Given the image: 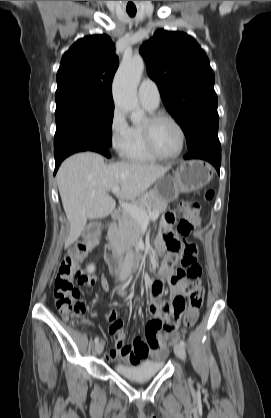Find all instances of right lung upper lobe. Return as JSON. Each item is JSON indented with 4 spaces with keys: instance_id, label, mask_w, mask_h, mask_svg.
<instances>
[{
    "instance_id": "1",
    "label": "right lung upper lobe",
    "mask_w": 271,
    "mask_h": 418,
    "mask_svg": "<svg viewBox=\"0 0 271 418\" xmlns=\"http://www.w3.org/2000/svg\"><path fill=\"white\" fill-rule=\"evenodd\" d=\"M119 64L111 39H79L63 55L57 72L56 103L71 99L113 102L111 84Z\"/></svg>"
}]
</instances>
